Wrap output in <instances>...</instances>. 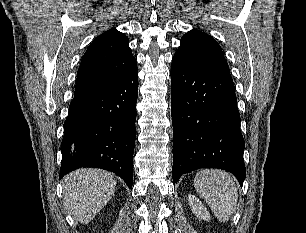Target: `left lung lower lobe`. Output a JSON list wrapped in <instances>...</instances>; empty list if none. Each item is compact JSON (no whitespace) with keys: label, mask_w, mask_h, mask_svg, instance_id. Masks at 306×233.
Here are the masks:
<instances>
[{"label":"left lung lower lobe","mask_w":306,"mask_h":233,"mask_svg":"<svg viewBox=\"0 0 306 233\" xmlns=\"http://www.w3.org/2000/svg\"><path fill=\"white\" fill-rule=\"evenodd\" d=\"M171 85L173 183L189 171L219 168L233 173L242 186L245 142L230 73L175 54Z\"/></svg>","instance_id":"1"}]
</instances>
